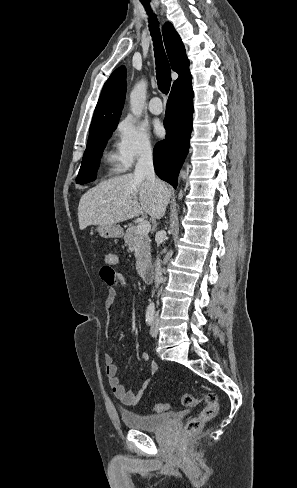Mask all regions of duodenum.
I'll return each mask as SVG.
<instances>
[{
    "mask_svg": "<svg viewBox=\"0 0 297 488\" xmlns=\"http://www.w3.org/2000/svg\"><path fill=\"white\" fill-rule=\"evenodd\" d=\"M139 276L147 283L153 280V270L150 265H143L138 269Z\"/></svg>",
    "mask_w": 297,
    "mask_h": 488,
    "instance_id": "410a0bca",
    "label": "duodenum"
}]
</instances>
